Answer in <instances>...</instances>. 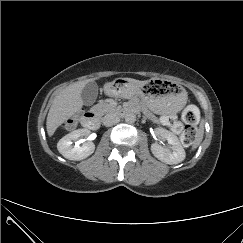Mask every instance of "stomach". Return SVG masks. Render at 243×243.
Wrapping results in <instances>:
<instances>
[{
  "label": "stomach",
  "mask_w": 243,
  "mask_h": 243,
  "mask_svg": "<svg viewBox=\"0 0 243 243\" xmlns=\"http://www.w3.org/2000/svg\"><path fill=\"white\" fill-rule=\"evenodd\" d=\"M130 87L138 88L149 108L157 114H176L187 103V92L175 82L153 79L144 84H134L126 79H118L105 85L106 91L115 96Z\"/></svg>",
  "instance_id": "1"
}]
</instances>
